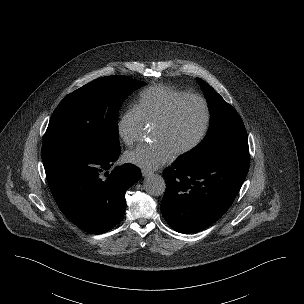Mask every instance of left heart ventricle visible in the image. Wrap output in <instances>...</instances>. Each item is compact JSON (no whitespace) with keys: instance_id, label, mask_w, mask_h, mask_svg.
Returning <instances> with one entry per match:
<instances>
[{"instance_id":"b2bd125f","label":"left heart ventricle","mask_w":304,"mask_h":304,"mask_svg":"<svg viewBox=\"0 0 304 304\" xmlns=\"http://www.w3.org/2000/svg\"><path fill=\"white\" fill-rule=\"evenodd\" d=\"M202 122V105L197 100H189L179 107L172 121L166 127H155L153 141L166 144L176 153L196 138Z\"/></svg>"}]
</instances>
